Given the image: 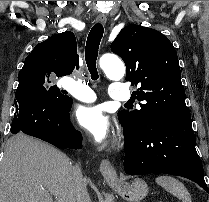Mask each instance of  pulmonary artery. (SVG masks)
<instances>
[{
  "label": "pulmonary artery",
  "instance_id": "1",
  "mask_svg": "<svg viewBox=\"0 0 209 202\" xmlns=\"http://www.w3.org/2000/svg\"><path fill=\"white\" fill-rule=\"evenodd\" d=\"M63 86L69 90L73 97L82 102H93L96 100L95 93L87 85L75 79H64ZM110 96L113 100L126 102L130 98L128 88L121 86L120 81H111Z\"/></svg>",
  "mask_w": 209,
  "mask_h": 202
}]
</instances>
